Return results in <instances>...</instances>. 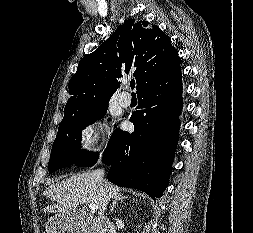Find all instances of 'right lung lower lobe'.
<instances>
[{
	"label": "right lung lower lobe",
	"instance_id": "1",
	"mask_svg": "<svg viewBox=\"0 0 253 233\" xmlns=\"http://www.w3.org/2000/svg\"><path fill=\"white\" fill-rule=\"evenodd\" d=\"M137 95V111L130 117L134 132L115 129L103 162L109 165V181L155 199L168 185L178 142V117L183 107L180 65L148 81ZM98 158L96 154L78 166H92Z\"/></svg>",
	"mask_w": 253,
	"mask_h": 233
}]
</instances>
